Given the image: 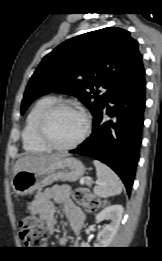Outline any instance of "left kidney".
<instances>
[{"label": "left kidney", "mask_w": 162, "mask_h": 261, "mask_svg": "<svg viewBox=\"0 0 162 261\" xmlns=\"http://www.w3.org/2000/svg\"><path fill=\"white\" fill-rule=\"evenodd\" d=\"M122 214L123 207L119 204L108 206L104 208L99 214H97V221L106 218L111 222L103 227V229L99 233L100 238L98 239L97 243L94 244V247L105 248L109 246L117 232ZM81 246H85V243L82 242Z\"/></svg>", "instance_id": "1"}]
</instances>
